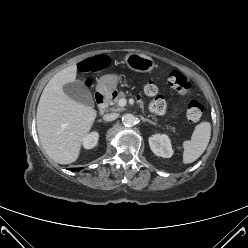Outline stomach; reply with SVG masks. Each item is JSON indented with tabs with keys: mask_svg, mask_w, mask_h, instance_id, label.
<instances>
[{
	"mask_svg": "<svg viewBox=\"0 0 248 248\" xmlns=\"http://www.w3.org/2000/svg\"><path fill=\"white\" fill-rule=\"evenodd\" d=\"M124 62L133 71L139 73L151 72L156 64L154 60L144 54L129 53L125 55ZM120 75L107 74L102 76L97 84V91L103 95L112 94L120 81Z\"/></svg>",
	"mask_w": 248,
	"mask_h": 248,
	"instance_id": "1",
	"label": "stomach"
}]
</instances>
